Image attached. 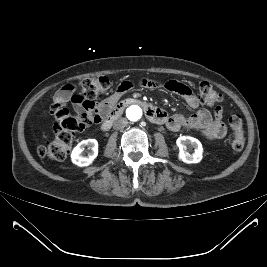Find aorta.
Wrapping results in <instances>:
<instances>
[{
    "mask_svg": "<svg viewBox=\"0 0 267 267\" xmlns=\"http://www.w3.org/2000/svg\"><path fill=\"white\" fill-rule=\"evenodd\" d=\"M126 116L128 120L136 122L141 119L142 117V110L137 105H131L126 110Z\"/></svg>",
    "mask_w": 267,
    "mask_h": 267,
    "instance_id": "762f6f07",
    "label": "aorta"
}]
</instances>
